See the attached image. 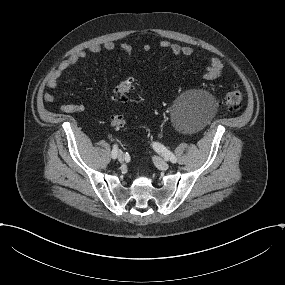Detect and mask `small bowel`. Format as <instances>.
Returning <instances> with one entry per match:
<instances>
[{
  "label": "small bowel",
  "instance_id": "obj_1",
  "mask_svg": "<svg viewBox=\"0 0 285 285\" xmlns=\"http://www.w3.org/2000/svg\"><path fill=\"white\" fill-rule=\"evenodd\" d=\"M159 46L162 49L169 50L175 56H183V57H191L193 55V49L188 46H181L177 43H172L169 41H162L160 42ZM117 45L112 41H106L102 44H92L86 50L77 51L66 59H64L56 69H54L46 82V85L49 89H56L58 87V83L60 78L62 77L63 73L67 70L74 68L80 61L84 60L87 57L88 53L92 54H99L102 51H115ZM121 50L128 56L132 54V46L127 43L123 42L120 44ZM150 45L146 44L143 47L145 52L150 51ZM224 71V63L221 59L217 57H212L209 60L208 66L203 74L204 80H214L219 78ZM44 101L47 103L56 102V98L52 93L46 92L44 93ZM59 108L61 111L65 113H80L84 111L85 107L82 104H73V103H65L59 102Z\"/></svg>",
  "mask_w": 285,
  "mask_h": 285
}]
</instances>
